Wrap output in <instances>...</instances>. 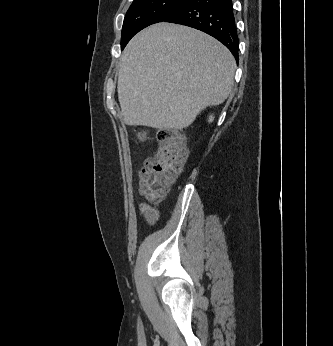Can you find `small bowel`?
I'll list each match as a JSON object with an SVG mask.
<instances>
[{
    "label": "small bowel",
    "instance_id": "1",
    "mask_svg": "<svg viewBox=\"0 0 333 346\" xmlns=\"http://www.w3.org/2000/svg\"><path fill=\"white\" fill-rule=\"evenodd\" d=\"M138 208H139V211L141 212V214L143 215L145 221L149 225H154L158 221L159 212L157 209H155L151 205L144 203V202H139Z\"/></svg>",
    "mask_w": 333,
    "mask_h": 346
}]
</instances>
